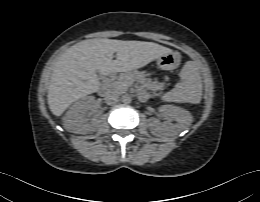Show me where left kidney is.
<instances>
[{
	"label": "left kidney",
	"mask_w": 260,
	"mask_h": 202,
	"mask_svg": "<svg viewBox=\"0 0 260 202\" xmlns=\"http://www.w3.org/2000/svg\"><path fill=\"white\" fill-rule=\"evenodd\" d=\"M161 117L167 120V123H160L156 118L148 120V126L151 133L157 137H166L176 135L183 131L191 121V114L177 106L164 105L159 108ZM176 121V124L170 123Z\"/></svg>",
	"instance_id": "obj_1"
}]
</instances>
